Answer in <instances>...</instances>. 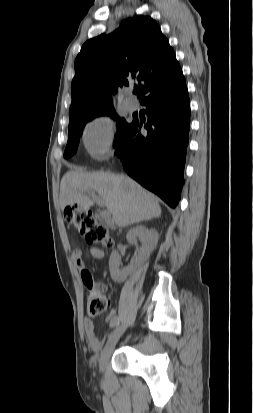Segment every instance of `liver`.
I'll use <instances>...</instances> for the list:
<instances>
[{"instance_id":"6515ba94","label":"liver","mask_w":253,"mask_h":413,"mask_svg":"<svg viewBox=\"0 0 253 413\" xmlns=\"http://www.w3.org/2000/svg\"><path fill=\"white\" fill-rule=\"evenodd\" d=\"M88 191L99 194L114 221L121 227L161 215L158 199L130 177L104 172L86 173L81 170H73L63 176L60 184V208L63 210L76 203L89 209L93 201L86 195Z\"/></svg>"}]
</instances>
